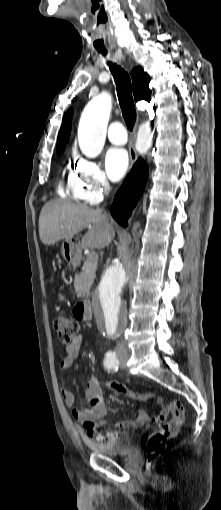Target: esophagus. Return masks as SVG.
<instances>
[{"label":"esophagus","mask_w":221,"mask_h":510,"mask_svg":"<svg viewBox=\"0 0 221 510\" xmlns=\"http://www.w3.org/2000/svg\"><path fill=\"white\" fill-rule=\"evenodd\" d=\"M129 155H130V162L133 165L137 160L136 151H135L133 145L130 146Z\"/></svg>","instance_id":"1"}]
</instances>
